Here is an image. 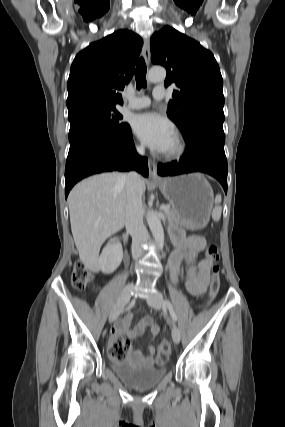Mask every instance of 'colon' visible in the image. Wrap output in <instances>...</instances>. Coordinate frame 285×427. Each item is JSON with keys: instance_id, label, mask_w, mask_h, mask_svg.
I'll use <instances>...</instances> for the list:
<instances>
[{"instance_id": "colon-1", "label": "colon", "mask_w": 285, "mask_h": 427, "mask_svg": "<svg viewBox=\"0 0 285 427\" xmlns=\"http://www.w3.org/2000/svg\"><path fill=\"white\" fill-rule=\"evenodd\" d=\"M207 258L212 262V276L209 287V302L213 301L220 289L219 250L216 245H210L207 249ZM92 280V275L82 262H77L72 272V284L78 290L85 289ZM111 357L118 363L128 359L130 346L127 341L116 340L114 346L109 348ZM171 352V345L163 341L158 349L156 364L162 366L166 363Z\"/></svg>"}]
</instances>
